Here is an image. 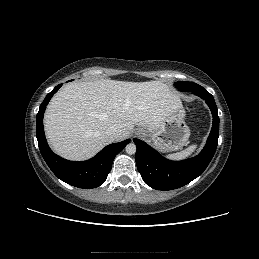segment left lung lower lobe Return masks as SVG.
Segmentation results:
<instances>
[{
	"instance_id": "obj_1",
	"label": "left lung lower lobe",
	"mask_w": 259,
	"mask_h": 259,
	"mask_svg": "<svg viewBox=\"0 0 259 259\" xmlns=\"http://www.w3.org/2000/svg\"><path fill=\"white\" fill-rule=\"evenodd\" d=\"M193 93L205 100L213 115V126L200 154L184 161H170L142 140L133 139L137 146V169L143 181L154 189L173 190L188 184L203 173L214 156L219 137L217 106L213 96L203 87Z\"/></svg>"
}]
</instances>
